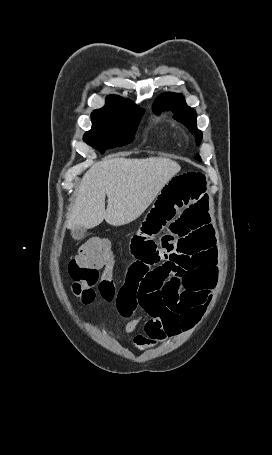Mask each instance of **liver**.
Segmentation results:
<instances>
[{
	"label": "liver",
	"instance_id": "liver-1",
	"mask_svg": "<svg viewBox=\"0 0 272 455\" xmlns=\"http://www.w3.org/2000/svg\"><path fill=\"white\" fill-rule=\"evenodd\" d=\"M180 169L177 162L163 157H116L96 162L75 191L67 226L90 229L103 220L112 226L136 220Z\"/></svg>",
	"mask_w": 272,
	"mask_h": 455
}]
</instances>
